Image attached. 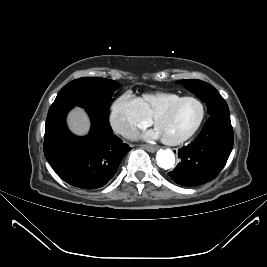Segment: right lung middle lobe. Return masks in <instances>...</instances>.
Here are the masks:
<instances>
[{
  "mask_svg": "<svg viewBox=\"0 0 267 267\" xmlns=\"http://www.w3.org/2000/svg\"><path fill=\"white\" fill-rule=\"evenodd\" d=\"M119 83L100 77L75 79L64 86L51 105L48 115L64 108L81 106L109 116L110 105Z\"/></svg>",
  "mask_w": 267,
  "mask_h": 267,
  "instance_id": "dd1d6c3e",
  "label": "right lung middle lobe"
}]
</instances>
